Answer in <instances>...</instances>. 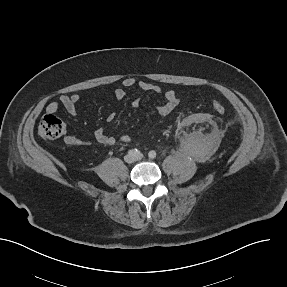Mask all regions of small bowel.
<instances>
[{
    "instance_id": "obj_1",
    "label": "small bowel",
    "mask_w": 287,
    "mask_h": 287,
    "mask_svg": "<svg viewBox=\"0 0 287 287\" xmlns=\"http://www.w3.org/2000/svg\"><path fill=\"white\" fill-rule=\"evenodd\" d=\"M124 88H136L138 91V97L133 101V106H138L140 102V96L145 93H164V102L156 107V112L159 118L168 117L171 112L178 106L179 98L176 92L172 89H164L162 86L146 81H137L133 77H126L122 81ZM125 90L123 88H117L114 91V96L117 100L125 98ZM81 97L78 94L62 95L58 101L50 102L46 111L48 113H55L60 107H62L69 115L77 116L78 111L76 105L79 103ZM113 116H110V120ZM93 139L102 145H112L115 143V137L107 134L103 129H97L92 133ZM119 140L124 143L132 141V137L128 134H122ZM64 141L67 145L78 146L82 144V140L75 136L68 134L65 136Z\"/></svg>"
}]
</instances>
